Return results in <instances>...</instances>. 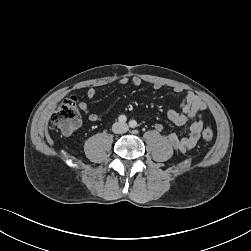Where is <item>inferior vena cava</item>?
Returning <instances> with one entry per match:
<instances>
[{
    "instance_id": "1",
    "label": "inferior vena cava",
    "mask_w": 251,
    "mask_h": 251,
    "mask_svg": "<svg viewBox=\"0 0 251 251\" xmlns=\"http://www.w3.org/2000/svg\"><path fill=\"white\" fill-rule=\"evenodd\" d=\"M113 130L115 133H125L128 130V125L125 123H115Z\"/></svg>"
}]
</instances>
